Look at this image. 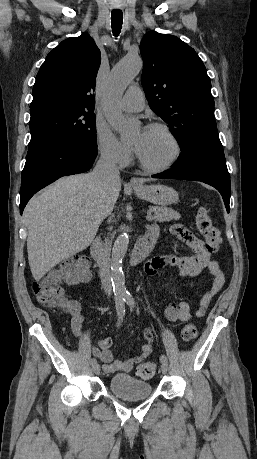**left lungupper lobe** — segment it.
<instances>
[{"mask_svg": "<svg viewBox=\"0 0 257 459\" xmlns=\"http://www.w3.org/2000/svg\"><path fill=\"white\" fill-rule=\"evenodd\" d=\"M140 51L149 106L171 127L186 155L201 130L216 127L207 70L193 48L169 34L148 32Z\"/></svg>", "mask_w": 257, "mask_h": 459, "instance_id": "left-lung-upper-lobe-1", "label": "left lung upper lobe"}]
</instances>
